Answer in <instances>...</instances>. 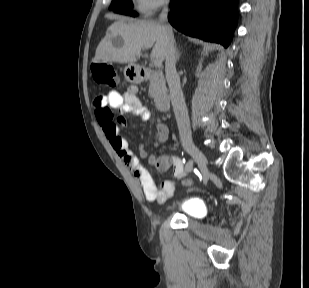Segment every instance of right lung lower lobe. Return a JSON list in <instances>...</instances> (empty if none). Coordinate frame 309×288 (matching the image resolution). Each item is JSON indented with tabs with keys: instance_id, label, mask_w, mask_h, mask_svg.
I'll return each instance as SVG.
<instances>
[{
	"instance_id": "obj_1",
	"label": "right lung lower lobe",
	"mask_w": 309,
	"mask_h": 288,
	"mask_svg": "<svg viewBox=\"0 0 309 288\" xmlns=\"http://www.w3.org/2000/svg\"><path fill=\"white\" fill-rule=\"evenodd\" d=\"M169 22L179 31L227 47L236 26V0H171Z\"/></svg>"
}]
</instances>
